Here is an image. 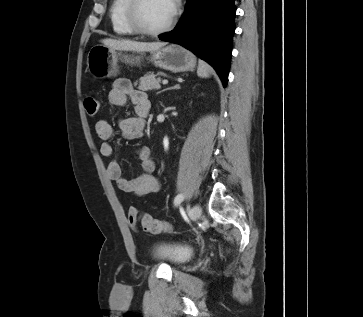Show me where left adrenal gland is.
I'll list each match as a JSON object with an SVG mask.
<instances>
[{"label":"left adrenal gland","instance_id":"obj_1","mask_svg":"<svg viewBox=\"0 0 363 317\" xmlns=\"http://www.w3.org/2000/svg\"><path fill=\"white\" fill-rule=\"evenodd\" d=\"M176 88H179V84L173 86V87H170V88H166V89H163L162 91L158 92V93H161L163 91H166V90H170V89H176Z\"/></svg>","mask_w":363,"mask_h":317}]
</instances>
